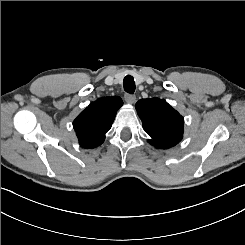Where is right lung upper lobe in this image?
Masks as SVG:
<instances>
[{
    "label": "right lung upper lobe",
    "instance_id": "right-lung-upper-lobe-1",
    "mask_svg": "<svg viewBox=\"0 0 245 245\" xmlns=\"http://www.w3.org/2000/svg\"><path fill=\"white\" fill-rule=\"evenodd\" d=\"M123 101L118 96L102 97L81 112L73 127L83 148H94L104 142L105 134L111 128L117 110Z\"/></svg>",
    "mask_w": 245,
    "mask_h": 245
}]
</instances>
